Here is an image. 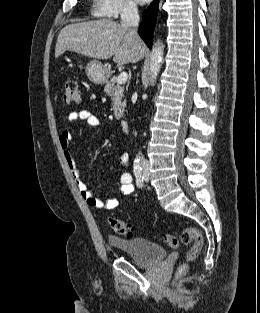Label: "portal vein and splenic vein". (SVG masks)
<instances>
[{
  "instance_id": "obj_1",
  "label": "portal vein and splenic vein",
  "mask_w": 260,
  "mask_h": 313,
  "mask_svg": "<svg viewBox=\"0 0 260 313\" xmlns=\"http://www.w3.org/2000/svg\"><path fill=\"white\" fill-rule=\"evenodd\" d=\"M127 79H128L127 72H122V73H120V75L117 78V83L118 84H123V83H125L127 81Z\"/></svg>"
}]
</instances>
